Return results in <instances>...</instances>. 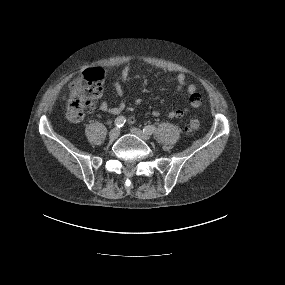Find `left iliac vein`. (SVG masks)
<instances>
[{
	"label": "left iliac vein",
	"instance_id": "obj_1",
	"mask_svg": "<svg viewBox=\"0 0 285 285\" xmlns=\"http://www.w3.org/2000/svg\"><path fill=\"white\" fill-rule=\"evenodd\" d=\"M131 133H133L134 135L138 136L139 138L145 141L150 139V136L148 134L144 133L142 130L138 128H131Z\"/></svg>",
	"mask_w": 285,
	"mask_h": 285
}]
</instances>
